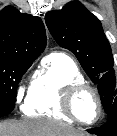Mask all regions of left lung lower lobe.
Instances as JSON below:
<instances>
[{"label": "left lung lower lobe", "instance_id": "1", "mask_svg": "<svg viewBox=\"0 0 117 136\" xmlns=\"http://www.w3.org/2000/svg\"><path fill=\"white\" fill-rule=\"evenodd\" d=\"M87 131L98 136H117V114H114L103 126L96 129H89Z\"/></svg>", "mask_w": 117, "mask_h": 136}]
</instances>
